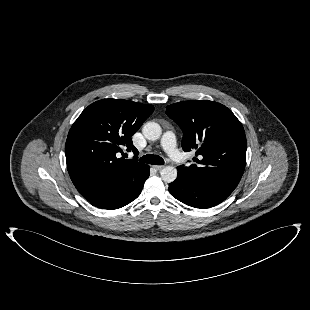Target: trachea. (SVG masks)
<instances>
[{
  "mask_svg": "<svg viewBox=\"0 0 310 310\" xmlns=\"http://www.w3.org/2000/svg\"><path fill=\"white\" fill-rule=\"evenodd\" d=\"M141 162L155 165H164V160L158 155L147 154L140 158Z\"/></svg>",
  "mask_w": 310,
  "mask_h": 310,
  "instance_id": "trachea-1",
  "label": "trachea"
}]
</instances>
